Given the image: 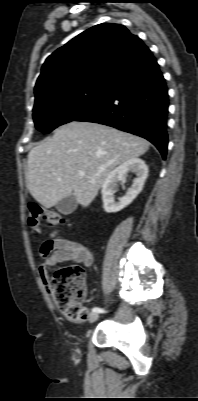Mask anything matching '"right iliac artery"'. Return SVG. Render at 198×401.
<instances>
[{
  "label": "right iliac artery",
  "instance_id": "right-iliac-artery-1",
  "mask_svg": "<svg viewBox=\"0 0 198 401\" xmlns=\"http://www.w3.org/2000/svg\"><path fill=\"white\" fill-rule=\"evenodd\" d=\"M92 312H96V313H104L105 311H104L103 309H101V308L94 307V308L92 309Z\"/></svg>",
  "mask_w": 198,
  "mask_h": 401
}]
</instances>
